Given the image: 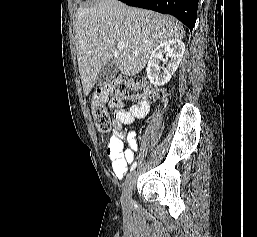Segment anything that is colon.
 <instances>
[{
  "label": "colon",
  "instance_id": "obj_1",
  "mask_svg": "<svg viewBox=\"0 0 257 237\" xmlns=\"http://www.w3.org/2000/svg\"><path fill=\"white\" fill-rule=\"evenodd\" d=\"M154 96V91L142 81L118 78L100 86L91 99V112L97 130L103 136L109 133L112 124L111 109L115 105Z\"/></svg>",
  "mask_w": 257,
  "mask_h": 237
}]
</instances>
